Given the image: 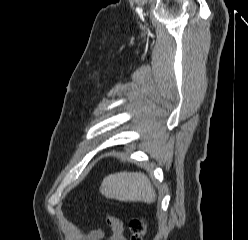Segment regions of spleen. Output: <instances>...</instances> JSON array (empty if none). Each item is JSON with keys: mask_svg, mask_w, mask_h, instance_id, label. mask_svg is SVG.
<instances>
[{"mask_svg": "<svg viewBox=\"0 0 248 240\" xmlns=\"http://www.w3.org/2000/svg\"><path fill=\"white\" fill-rule=\"evenodd\" d=\"M100 191L107 198L124 202L153 203L156 200L154 188L141 172L122 171L108 175L103 179Z\"/></svg>", "mask_w": 248, "mask_h": 240, "instance_id": "spleen-1", "label": "spleen"}]
</instances>
